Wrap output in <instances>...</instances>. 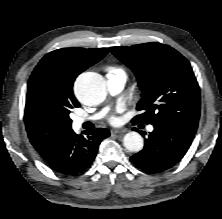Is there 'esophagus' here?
<instances>
[{
    "instance_id": "1",
    "label": "esophagus",
    "mask_w": 222,
    "mask_h": 219,
    "mask_svg": "<svg viewBox=\"0 0 222 219\" xmlns=\"http://www.w3.org/2000/svg\"><path fill=\"white\" fill-rule=\"evenodd\" d=\"M124 132H125L124 130L113 129V130L111 131V134H112V135H119V134H122V133H124Z\"/></svg>"
}]
</instances>
